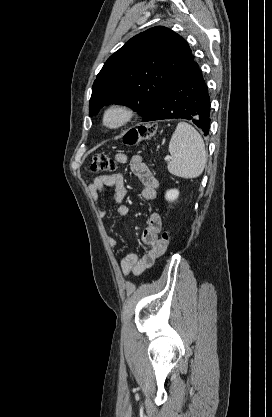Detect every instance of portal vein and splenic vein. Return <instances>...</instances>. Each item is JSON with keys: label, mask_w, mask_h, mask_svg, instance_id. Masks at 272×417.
I'll list each match as a JSON object with an SVG mask.
<instances>
[{"label": "portal vein and splenic vein", "mask_w": 272, "mask_h": 417, "mask_svg": "<svg viewBox=\"0 0 272 417\" xmlns=\"http://www.w3.org/2000/svg\"><path fill=\"white\" fill-rule=\"evenodd\" d=\"M171 159V157L170 156H166L165 157V160H167V161H169Z\"/></svg>", "instance_id": "obj_1"}]
</instances>
